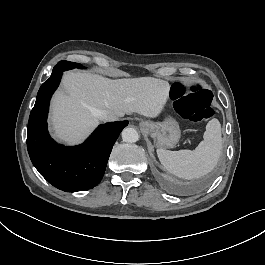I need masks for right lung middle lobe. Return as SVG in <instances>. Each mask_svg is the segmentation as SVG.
I'll list each match as a JSON object with an SVG mask.
<instances>
[{
  "label": "right lung middle lobe",
  "mask_w": 265,
  "mask_h": 265,
  "mask_svg": "<svg viewBox=\"0 0 265 265\" xmlns=\"http://www.w3.org/2000/svg\"><path fill=\"white\" fill-rule=\"evenodd\" d=\"M57 67H64V70H69L72 68H83L81 64L79 63H74V62H68V61H60L55 67L54 69H56ZM53 69V70H54Z\"/></svg>",
  "instance_id": "dd1d6c3e"
}]
</instances>
